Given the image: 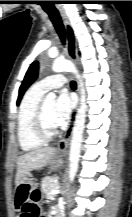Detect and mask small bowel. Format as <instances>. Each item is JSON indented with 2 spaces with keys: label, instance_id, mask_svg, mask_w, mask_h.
I'll list each match as a JSON object with an SVG mask.
<instances>
[{
  "label": "small bowel",
  "instance_id": "obj_1",
  "mask_svg": "<svg viewBox=\"0 0 132 217\" xmlns=\"http://www.w3.org/2000/svg\"><path fill=\"white\" fill-rule=\"evenodd\" d=\"M26 197L20 196L17 199V209L20 211V217H32L26 209Z\"/></svg>",
  "mask_w": 132,
  "mask_h": 217
}]
</instances>
